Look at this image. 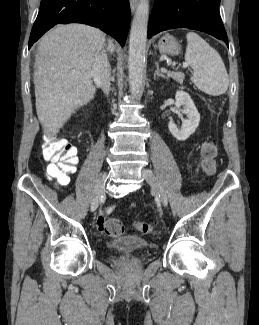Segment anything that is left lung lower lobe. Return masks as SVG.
I'll return each instance as SVG.
<instances>
[{
	"label": "left lung lower lobe",
	"instance_id": "left-lung-lower-lobe-1",
	"mask_svg": "<svg viewBox=\"0 0 259 325\" xmlns=\"http://www.w3.org/2000/svg\"><path fill=\"white\" fill-rule=\"evenodd\" d=\"M219 4L220 0H155L148 38L168 29L189 28L208 33L228 45Z\"/></svg>",
	"mask_w": 259,
	"mask_h": 325
}]
</instances>
